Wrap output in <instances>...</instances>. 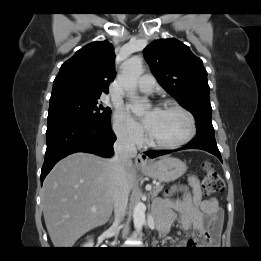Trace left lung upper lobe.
Wrapping results in <instances>:
<instances>
[{
	"mask_svg": "<svg viewBox=\"0 0 261 261\" xmlns=\"http://www.w3.org/2000/svg\"><path fill=\"white\" fill-rule=\"evenodd\" d=\"M144 56L159 84L193 114L197 133H214L202 60L174 38L153 41L144 49Z\"/></svg>",
	"mask_w": 261,
	"mask_h": 261,
	"instance_id": "1",
	"label": "left lung upper lobe"
}]
</instances>
